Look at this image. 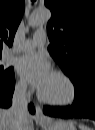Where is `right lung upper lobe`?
Here are the masks:
<instances>
[{
    "instance_id": "cb5924a9",
    "label": "right lung upper lobe",
    "mask_w": 95,
    "mask_h": 130,
    "mask_svg": "<svg viewBox=\"0 0 95 130\" xmlns=\"http://www.w3.org/2000/svg\"><path fill=\"white\" fill-rule=\"evenodd\" d=\"M23 11L24 0H0V54L4 44H13Z\"/></svg>"
}]
</instances>
